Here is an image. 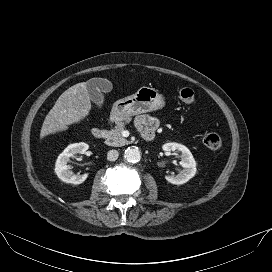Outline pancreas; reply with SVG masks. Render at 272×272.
<instances>
[{
    "label": "pancreas",
    "mask_w": 272,
    "mask_h": 272,
    "mask_svg": "<svg viewBox=\"0 0 272 272\" xmlns=\"http://www.w3.org/2000/svg\"><path fill=\"white\" fill-rule=\"evenodd\" d=\"M130 118L126 119L125 122H118L116 126L108 131L106 144L109 146H124L129 144V141L122 136L125 125L130 122Z\"/></svg>",
    "instance_id": "pancreas-1"
}]
</instances>
